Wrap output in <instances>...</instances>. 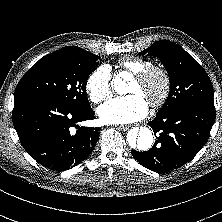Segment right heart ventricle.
Masks as SVG:
<instances>
[{"label":"right heart ventricle","mask_w":222,"mask_h":222,"mask_svg":"<svg viewBox=\"0 0 222 222\" xmlns=\"http://www.w3.org/2000/svg\"><path fill=\"white\" fill-rule=\"evenodd\" d=\"M119 65L125 71L130 72L132 74L139 73L153 66L150 61L142 59V58H138V57H128V58L122 59L119 62Z\"/></svg>","instance_id":"obj_1"}]
</instances>
